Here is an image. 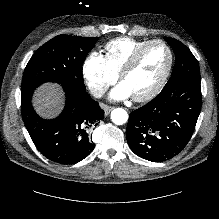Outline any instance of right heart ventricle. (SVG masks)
Returning a JSON list of instances; mask_svg holds the SVG:
<instances>
[{
  "instance_id": "e07e8e85",
  "label": "right heart ventricle",
  "mask_w": 219,
  "mask_h": 219,
  "mask_svg": "<svg viewBox=\"0 0 219 219\" xmlns=\"http://www.w3.org/2000/svg\"><path fill=\"white\" fill-rule=\"evenodd\" d=\"M149 40H138L131 37H118L110 40L105 45V58L115 73L120 69L127 59Z\"/></svg>"
}]
</instances>
